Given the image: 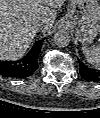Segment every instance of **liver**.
I'll return each instance as SVG.
<instances>
[{
    "instance_id": "liver-1",
    "label": "liver",
    "mask_w": 100,
    "mask_h": 118,
    "mask_svg": "<svg viewBox=\"0 0 100 118\" xmlns=\"http://www.w3.org/2000/svg\"><path fill=\"white\" fill-rule=\"evenodd\" d=\"M67 0H0V59L14 61L22 57L32 43L34 25L42 22L50 29L56 8Z\"/></svg>"
}]
</instances>
